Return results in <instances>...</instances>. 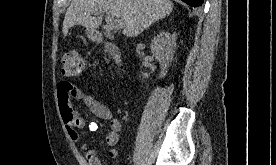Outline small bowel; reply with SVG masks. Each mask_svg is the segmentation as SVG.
Returning <instances> with one entry per match:
<instances>
[{"label":"small bowel","instance_id":"c3829d8e","mask_svg":"<svg viewBox=\"0 0 276 165\" xmlns=\"http://www.w3.org/2000/svg\"><path fill=\"white\" fill-rule=\"evenodd\" d=\"M72 99L82 100L90 111L99 119L108 122V130L105 135V141L111 147L109 157L116 158V144L120 139L122 129L121 122L116 118L110 108L98 101L91 94L77 88L73 83L63 80L57 84V100L61 118L70 139L80 146L88 165H102L101 159L97 156L94 148L84 143L81 133L79 132L85 126V119L74 110ZM89 130L96 131L99 126L96 122H91Z\"/></svg>","mask_w":276,"mask_h":165}]
</instances>
